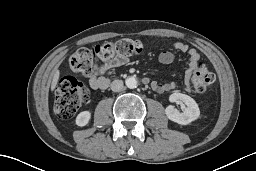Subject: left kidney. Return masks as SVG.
<instances>
[{
	"label": "left kidney",
	"mask_w": 256,
	"mask_h": 171,
	"mask_svg": "<svg viewBox=\"0 0 256 171\" xmlns=\"http://www.w3.org/2000/svg\"><path fill=\"white\" fill-rule=\"evenodd\" d=\"M169 100L177 104H185L187 107L183 112H179L174 106L170 105L165 109V114L171 121L187 125L196 120L200 115V110L196 101L188 95L182 93H173Z\"/></svg>",
	"instance_id": "1"
}]
</instances>
